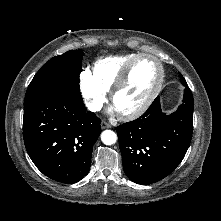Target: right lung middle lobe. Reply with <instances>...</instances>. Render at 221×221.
Wrapping results in <instances>:
<instances>
[{
  "label": "right lung middle lobe",
  "mask_w": 221,
  "mask_h": 221,
  "mask_svg": "<svg viewBox=\"0 0 221 221\" xmlns=\"http://www.w3.org/2000/svg\"><path fill=\"white\" fill-rule=\"evenodd\" d=\"M83 55L80 50H71L46 62L29 84L24 105L54 93L83 101L79 86Z\"/></svg>",
  "instance_id": "right-lung-middle-lobe-1"
}]
</instances>
